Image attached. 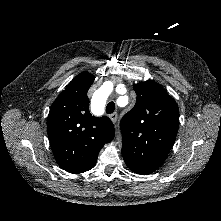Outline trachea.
I'll list each match as a JSON object with an SVG mask.
<instances>
[{
	"label": "trachea",
	"instance_id": "obj_1",
	"mask_svg": "<svg viewBox=\"0 0 221 221\" xmlns=\"http://www.w3.org/2000/svg\"><path fill=\"white\" fill-rule=\"evenodd\" d=\"M114 110H115V103L113 101H111L107 104L105 111L107 114H111L114 112Z\"/></svg>",
	"mask_w": 221,
	"mask_h": 221
}]
</instances>
